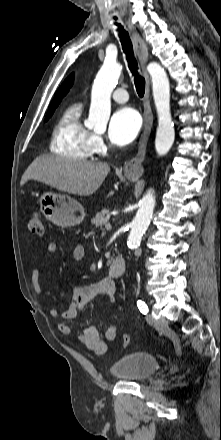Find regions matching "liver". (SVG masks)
I'll return each mask as SVG.
<instances>
[{"label":"liver","instance_id":"liver-1","mask_svg":"<svg viewBox=\"0 0 221 440\" xmlns=\"http://www.w3.org/2000/svg\"><path fill=\"white\" fill-rule=\"evenodd\" d=\"M109 172L107 163L42 155L26 169L21 185L33 179L73 195L89 196L98 190Z\"/></svg>","mask_w":221,"mask_h":440}]
</instances>
